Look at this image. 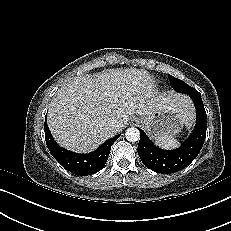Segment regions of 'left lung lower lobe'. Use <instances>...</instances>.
<instances>
[{
	"label": "left lung lower lobe",
	"mask_w": 231,
	"mask_h": 231,
	"mask_svg": "<svg viewBox=\"0 0 231 231\" xmlns=\"http://www.w3.org/2000/svg\"><path fill=\"white\" fill-rule=\"evenodd\" d=\"M189 96L196 108V124L190 137L178 149L168 151L155 146L138 128L141 136L137 151L147 168L163 174L175 173L188 166L199 154L206 138V111L200 93Z\"/></svg>",
	"instance_id": "obj_1"
}]
</instances>
